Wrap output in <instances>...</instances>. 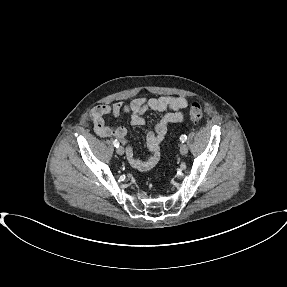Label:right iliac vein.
I'll use <instances>...</instances> for the list:
<instances>
[{
	"label": "right iliac vein",
	"mask_w": 287,
	"mask_h": 287,
	"mask_svg": "<svg viewBox=\"0 0 287 287\" xmlns=\"http://www.w3.org/2000/svg\"><path fill=\"white\" fill-rule=\"evenodd\" d=\"M116 152L118 155L124 154V148L122 146L117 147Z\"/></svg>",
	"instance_id": "63e3f726"
}]
</instances>
